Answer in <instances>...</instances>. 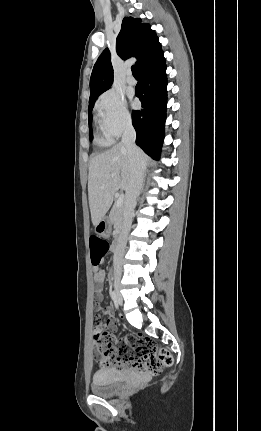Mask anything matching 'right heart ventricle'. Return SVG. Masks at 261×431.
Segmentation results:
<instances>
[{"instance_id":"obj_1","label":"right heart ventricle","mask_w":261,"mask_h":431,"mask_svg":"<svg viewBox=\"0 0 261 431\" xmlns=\"http://www.w3.org/2000/svg\"><path fill=\"white\" fill-rule=\"evenodd\" d=\"M98 143L102 146H108L112 143V137L104 133L102 136L98 137Z\"/></svg>"}]
</instances>
